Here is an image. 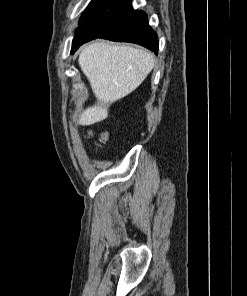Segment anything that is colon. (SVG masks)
<instances>
[{
	"label": "colon",
	"instance_id": "5ec220e1",
	"mask_svg": "<svg viewBox=\"0 0 247 296\" xmlns=\"http://www.w3.org/2000/svg\"><path fill=\"white\" fill-rule=\"evenodd\" d=\"M90 134H92V133H90ZM106 139V135L105 134H102L101 136H100V142H102V141H104ZM99 146V145H98Z\"/></svg>",
	"mask_w": 247,
	"mask_h": 296
}]
</instances>
